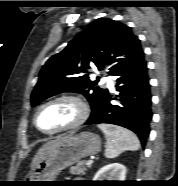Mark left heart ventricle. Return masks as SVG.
<instances>
[{
    "label": "left heart ventricle",
    "mask_w": 178,
    "mask_h": 186,
    "mask_svg": "<svg viewBox=\"0 0 178 186\" xmlns=\"http://www.w3.org/2000/svg\"><path fill=\"white\" fill-rule=\"evenodd\" d=\"M78 115V107L70 101H59L42 108L38 114L37 122L44 131H54L62 128Z\"/></svg>",
    "instance_id": "b2bd125f"
}]
</instances>
